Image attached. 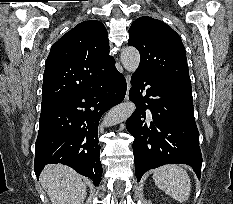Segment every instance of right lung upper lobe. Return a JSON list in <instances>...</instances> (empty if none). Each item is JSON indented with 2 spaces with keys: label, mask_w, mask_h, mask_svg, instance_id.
I'll return each instance as SVG.
<instances>
[{
  "label": "right lung upper lobe",
  "mask_w": 233,
  "mask_h": 204,
  "mask_svg": "<svg viewBox=\"0 0 233 204\" xmlns=\"http://www.w3.org/2000/svg\"><path fill=\"white\" fill-rule=\"evenodd\" d=\"M115 66L109 56L103 23L90 20L76 25L51 47L45 63L42 104H55L91 87Z\"/></svg>",
  "instance_id": "1"
}]
</instances>
